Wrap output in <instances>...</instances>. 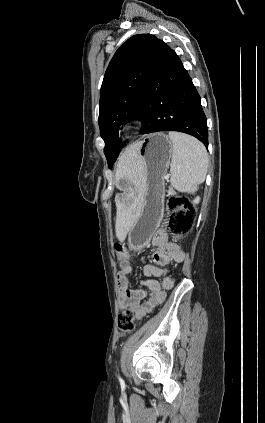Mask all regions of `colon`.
<instances>
[{
  "instance_id": "5ec220e1",
  "label": "colon",
  "mask_w": 265,
  "mask_h": 423,
  "mask_svg": "<svg viewBox=\"0 0 265 423\" xmlns=\"http://www.w3.org/2000/svg\"><path fill=\"white\" fill-rule=\"evenodd\" d=\"M169 218L167 227L169 232L175 236H183L190 232L195 216V209L192 203L182 197H171L167 202ZM119 262H125L128 257L127 249L122 245L116 246ZM118 328L124 334L131 333L136 326V319L129 310L121 312L118 316Z\"/></svg>"
}]
</instances>
